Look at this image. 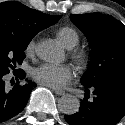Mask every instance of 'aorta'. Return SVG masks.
I'll return each mask as SVG.
<instances>
[{
    "label": "aorta",
    "mask_w": 125,
    "mask_h": 125,
    "mask_svg": "<svg viewBox=\"0 0 125 125\" xmlns=\"http://www.w3.org/2000/svg\"><path fill=\"white\" fill-rule=\"evenodd\" d=\"M36 53L40 59L46 62H59L63 58L62 50L52 40L38 43ZM58 107L62 113L72 115L79 110L80 102L76 96L66 94L59 99Z\"/></svg>",
    "instance_id": "aorta-1"
}]
</instances>
